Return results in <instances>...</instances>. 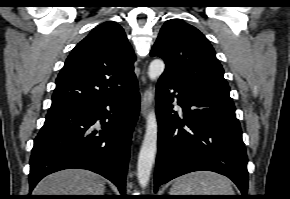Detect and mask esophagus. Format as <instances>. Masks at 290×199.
<instances>
[{
    "mask_svg": "<svg viewBox=\"0 0 290 199\" xmlns=\"http://www.w3.org/2000/svg\"><path fill=\"white\" fill-rule=\"evenodd\" d=\"M151 99H152V91L150 88L145 92V94L143 96L142 104H141V113L144 117L147 114V107H148V104L151 101Z\"/></svg>",
    "mask_w": 290,
    "mask_h": 199,
    "instance_id": "1",
    "label": "esophagus"
}]
</instances>
